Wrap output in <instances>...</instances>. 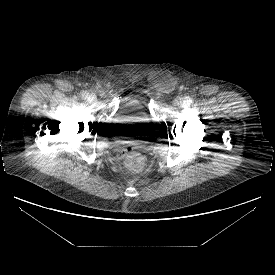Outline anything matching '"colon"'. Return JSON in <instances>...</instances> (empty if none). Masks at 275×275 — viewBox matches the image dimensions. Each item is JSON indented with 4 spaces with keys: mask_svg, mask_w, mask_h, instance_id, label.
I'll use <instances>...</instances> for the list:
<instances>
[{
    "mask_svg": "<svg viewBox=\"0 0 275 275\" xmlns=\"http://www.w3.org/2000/svg\"><path fill=\"white\" fill-rule=\"evenodd\" d=\"M121 158L124 164L132 171H139L144 166L143 156L132 148L125 149Z\"/></svg>",
    "mask_w": 275,
    "mask_h": 275,
    "instance_id": "1",
    "label": "colon"
}]
</instances>
